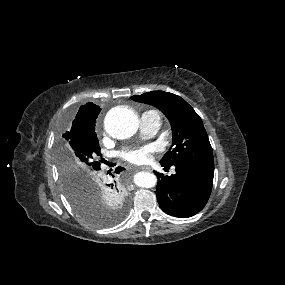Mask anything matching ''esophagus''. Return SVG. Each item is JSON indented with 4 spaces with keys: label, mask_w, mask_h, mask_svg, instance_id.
Masks as SVG:
<instances>
[{
    "label": "esophagus",
    "mask_w": 285,
    "mask_h": 285,
    "mask_svg": "<svg viewBox=\"0 0 285 285\" xmlns=\"http://www.w3.org/2000/svg\"><path fill=\"white\" fill-rule=\"evenodd\" d=\"M141 169L144 170V171H149V172L151 171L150 167H142Z\"/></svg>",
    "instance_id": "esophagus-1"
}]
</instances>
